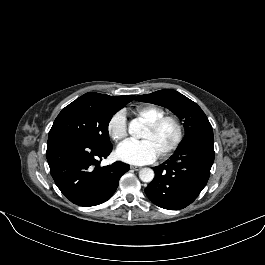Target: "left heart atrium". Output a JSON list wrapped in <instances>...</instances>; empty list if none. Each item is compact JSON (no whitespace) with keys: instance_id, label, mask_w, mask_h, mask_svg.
<instances>
[{"instance_id":"obj_1","label":"left heart atrium","mask_w":265,"mask_h":265,"mask_svg":"<svg viewBox=\"0 0 265 265\" xmlns=\"http://www.w3.org/2000/svg\"><path fill=\"white\" fill-rule=\"evenodd\" d=\"M116 157L131 164H145L155 161L158 153L149 141H126L117 148Z\"/></svg>"}]
</instances>
